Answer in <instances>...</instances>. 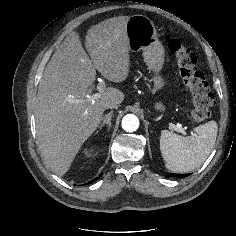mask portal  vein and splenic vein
<instances>
[{
	"label": "portal vein and splenic vein",
	"mask_w": 236,
	"mask_h": 236,
	"mask_svg": "<svg viewBox=\"0 0 236 236\" xmlns=\"http://www.w3.org/2000/svg\"><path fill=\"white\" fill-rule=\"evenodd\" d=\"M97 89H98L99 93H96V94H93V95H87V98L89 100H91L92 102H94V100L100 98L102 93L104 92L105 84H104L103 80H101V79L99 80V83L97 85ZM170 127L172 129H174L175 131H177V132L185 134V130L182 128L181 124L174 125V124L171 123Z\"/></svg>",
	"instance_id": "portal-vein-and-splenic-vein-1"
}]
</instances>
